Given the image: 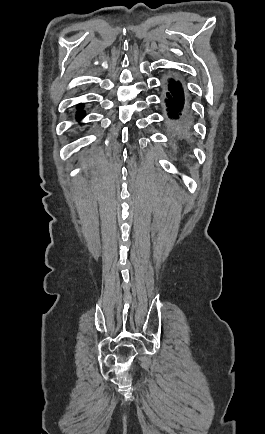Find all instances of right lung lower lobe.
<instances>
[{"mask_svg":"<svg viewBox=\"0 0 265 434\" xmlns=\"http://www.w3.org/2000/svg\"><path fill=\"white\" fill-rule=\"evenodd\" d=\"M79 109H82V106H80ZM84 115H85V114H84V111H79V112H78L77 119L80 120L82 117H84Z\"/></svg>","mask_w":265,"mask_h":434,"instance_id":"1","label":"right lung lower lobe"}]
</instances>
